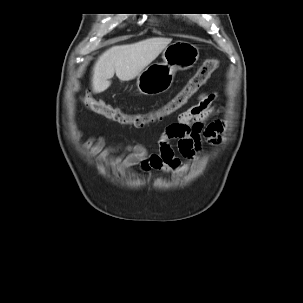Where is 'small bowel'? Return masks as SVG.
Instances as JSON below:
<instances>
[{"label": "small bowel", "mask_w": 303, "mask_h": 303, "mask_svg": "<svg viewBox=\"0 0 303 303\" xmlns=\"http://www.w3.org/2000/svg\"><path fill=\"white\" fill-rule=\"evenodd\" d=\"M214 100V94L201 93L196 104L181 112L177 120L166 127L158 141L157 153H148L141 144L106 146L101 137L87 141L85 153L99 162L112 154H118L111 165H118L121 171L139 166L143 172L157 170L173 174L181 169L182 160L176 156L170 143L172 140H176L178 152L186 158L197 156L206 144L217 142L218 129L206 125V121L214 112Z\"/></svg>", "instance_id": "obj_1"}]
</instances>
